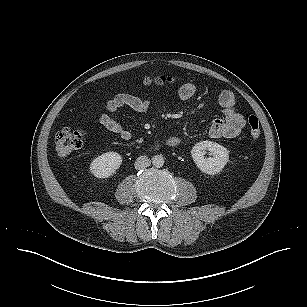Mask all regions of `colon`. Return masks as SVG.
I'll return each mask as SVG.
<instances>
[{
	"instance_id": "obj_1",
	"label": "colon",
	"mask_w": 307,
	"mask_h": 307,
	"mask_svg": "<svg viewBox=\"0 0 307 307\" xmlns=\"http://www.w3.org/2000/svg\"><path fill=\"white\" fill-rule=\"evenodd\" d=\"M173 82L170 77H157L154 79H146V84H154L157 86H166ZM249 136L253 140H258L260 137V124L256 116L251 115L247 121ZM84 134L78 129L64 127L58 131L55 139V153L59 158H65L72 152L79 149L82 145Z\"/></svg>"
}]
</instances>
